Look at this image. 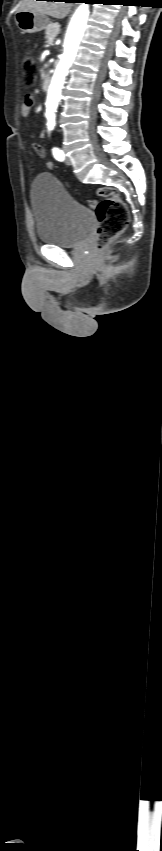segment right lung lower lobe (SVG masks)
Masks as SVG:
<instances>
[{
	"mask_svg": "<svg viewBox=\"0 0 162 851\" xmlns=\"http://www.w3.org/2000/svg\"><path fill=\"white\" fill-rule=\"evenodd\" d=\"M47 1H58V0H47ZM64 1L65 2H75V3L78 2V1H84L86 3H94V0H64Z\"/></svg>",
	"mask_w": 162,
	"mask_h": 851,
	"instance_id": "1",
	"label": "right lung lower lobe"
}]
</instances>
